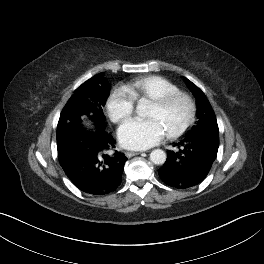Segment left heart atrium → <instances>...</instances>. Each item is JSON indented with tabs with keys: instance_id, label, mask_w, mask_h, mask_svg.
I'll return each mask as SVG.
<instances>
[{
	"instance_id": "obj_1",
	"label": "left heart atrium",
	"mask_w": 264,
	"mask_h": 264,
	"mask_svg": "<svg viewBox=\"0 0 264 264\" xmlns=\"http://www.w3.org/2000/svg\"><path fill=\"white\" fill-rule=\"evenodd\" d=\"M166 131L159 120L130 119L118 131L119 140L129 149L143 150L159 143Z\"/></svg>"
}]
</instances>
